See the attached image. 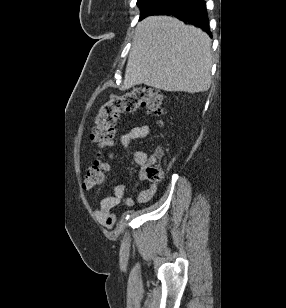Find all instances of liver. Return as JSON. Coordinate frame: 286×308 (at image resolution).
<instances>
[{
    "label": "liver",
    "instance_id": "6515ba94",
    "mask_svg": "<svg viewBox=\"0 0 286 308\" xmlns=\"http://www.w3.org/2000/svg\"><path fill=\"white\" fill-rule=\"evenodd\" d=\"M211 39L170 16H150L137 24L123 89L147 85L164 91L198 93L211 85Z\"/></svg>",
    "mask_w": 286,
    "mask_h": 308
}]
</instances>
